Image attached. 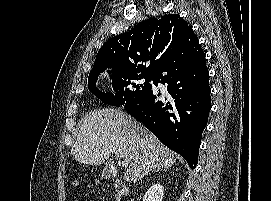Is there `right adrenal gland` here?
<instances>
[{"instance_id":"obj_1","label":"right adrenal gland","mask_w":271,"mask_h":201,"mask_svg":"<svg viewBox=\"0 0 271 201\" xmlns=\"http://www.w3.org/2000/svg\"><path fill=\"white\" fill-rule=\"evenodd\" d=\"M165 169H163V168H156V169H153L151 172H148L145 176H148V175H150L151 173H153V172H160V171H164Z\"/></svg>"}]
</instances>
